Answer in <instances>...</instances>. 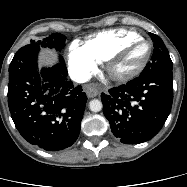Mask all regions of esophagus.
<instances>
[{
    "label": "esophagus",
    "mask_w": 187,
    "mask_h": 187,
    "mask_svg": "<svg viewBox=\"0 0 187 187\" xmlns=\"http://www.w3.org/2000/svg\"><path fill=\"white\" fill-rule=\"evenodd\" d=\"M84 91L89 98H94L99 94V91L91 85H86Z\"/></svg>",
    "instance_id": "obj_1"
}]
</instances>
